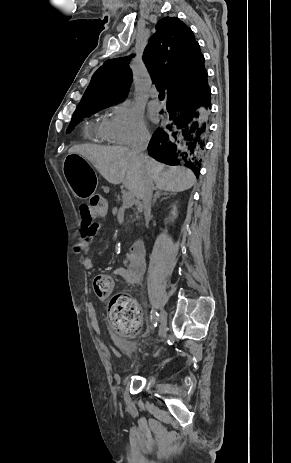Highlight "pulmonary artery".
I'll use <instances>...</instances> for the list:
<instances>
[{"label": "pulmonary artery", "mask_w": 291, "mask_h": 463, "mask_svg": "<svg viewBox=\"0 0 291 463\" xmlns=\"http://www.w3.org/2000/svg\"><path fill=\"white\" fill-rule=\"evenodd\" d=\"M152 99L149 102V107L153 110L159 111L162 108L161 102L157 99V93L154 92L151 94Z\"/></svg>", "instance_id": "e3ab8cb5"}]
</instances>
